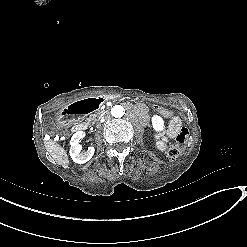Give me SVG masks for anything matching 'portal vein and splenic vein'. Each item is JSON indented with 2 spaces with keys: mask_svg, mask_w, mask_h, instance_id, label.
<instances>
[{
  "mask_svg": "<svg viewBox=\"0 0 247 247\" xmlns=\"http://www.w3.org/2000/svg\"><path fill=\"white\" fill-rule=\"evenodd\" d=\"M106 109V106H101L100 107V110H105Z\"/></svg>",
  "mask_w": 247,
  "mask_h": 247,
  "instance_id": "portal-vein-and-splenic-vein-1",
  "label": "portal vein and splenic vein"
}]
</instances>
